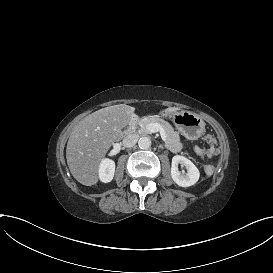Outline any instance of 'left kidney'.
Listing matches in <instances>:
<instances>
[{
  "instance_id": "left-kidney-1",
  "label": "left kidney",
  "mask_w": 273,
  "mask_h": 273,
  "mask_svg": "<svg viewBox=\"0 0 273 273\" xmlns=\"http://www.w3.org/2000/svg\"><path fill=\"white\" fill-rule=\"evenodd\" d=\"M181 164L187 169V173H181L178 165ZM200 173L197 167L184 156L176 155L172 158L171 177L181 187L194 185L199 179Z\"/></svg>"
}]
</instances>
